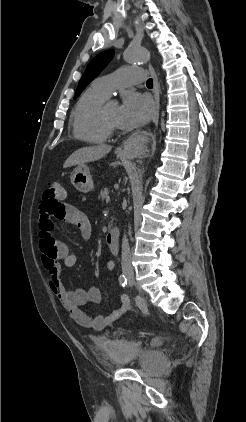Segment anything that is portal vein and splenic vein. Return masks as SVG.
<instances>
[{
  "label": "portal vein and splenic vein",
  "mask_w": 246,
  "mask_h": 422,
  "mask_svg": "<svg viewBox=\"0 0 246 422\" xmlns=\"http://www.w3.org/2000/svg\"><path fill=\"white\" fill-rule=\"evenodd\" d=\"M109 201H110V197L108 196V197L106 198V202H107V203H109Z\"/></svg>",
  "instance_id": "1"
}]
</instances>
